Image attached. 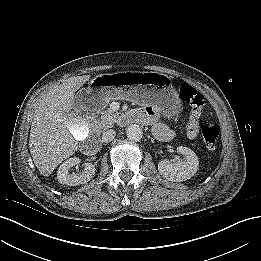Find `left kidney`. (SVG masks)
Wrapping results in <instances>:
<instances>
[{
    "mask_svg": "<svg viewBox=\"0 0 261 261\" xmlns=\"http://www.w3.org/2000/svg\"><path fill=\"white\" fill-rule=\"evenodd\" d=\"M177 152L185 157V161L170 162L167 159L158 163V171L165 179L182 182L195 175L199 167V161L196 154L188 147L179 146Z\"/></svg>",
    "mask_w": 261,
    "mask_h": 261,
    "instance_id": "5707ae66",
    "label": "left kidney"
}]
</instances>
